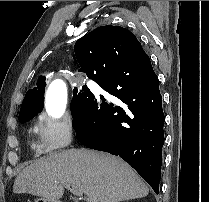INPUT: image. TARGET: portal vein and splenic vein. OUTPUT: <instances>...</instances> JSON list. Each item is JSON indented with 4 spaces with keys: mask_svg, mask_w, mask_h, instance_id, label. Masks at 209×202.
<instances>
[{
    "mask_svg": "<svg viewBox=\"0 0 209 202\" xmlns=\"http://www.w3.org/2000/svg\"><path fill=\"white\" fill-rule=\"evenodd\" d=\"M60 184L63 185L66 189H68L71 193H73L77 197H81L83 195L82 190L77 189L75 187H71L70 184L66 181H61Z\"/></svg>",
    "mask_w": 209,
    "mask_h": 202,
    "instance_id": "1",
    "label": "portal vein and splenic vein"
}]
</instances>
